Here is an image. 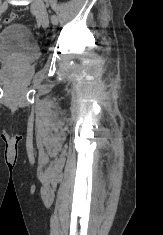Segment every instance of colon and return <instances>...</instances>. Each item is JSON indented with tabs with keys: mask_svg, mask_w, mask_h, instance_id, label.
<instances>
[{
	"mask_svg": "<svg viewBox=\"0 0 163 235\" xmlns=\"http://www.w3.org/2000/svg\"><path fill=\"white\" fill-rule=\"evenodd\" d=\"M17 17H18L17 14L12 12L4 18V22L7 24L11 23V22L15 21L17 19Z\"/></svg>",
	"mask_w": 163,
	"mask_h": 235,
	"instance_id": "colon-1",
	"label": "colon"
}]
</instances>
